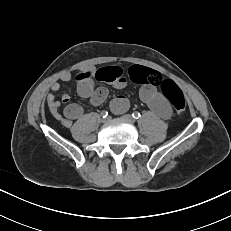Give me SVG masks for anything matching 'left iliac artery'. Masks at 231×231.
<instances>
[{
    "instance_id": "44dca946",
    "label": "left iliac artery",
    "mask_w": 231,
    "mask_h": 231,
    "mask_svg": "<svg viewBox=\"0 0 231 231\" xmlns=\"http://www.w3.org/2000/svg\"><path fill=\"white\" fill-rule=\"evenodd\" d=\"M132 116H133V118H135V119H139V118L141 117L140 113L137 112V111L133 112V113H132Z\"/></svg>"
}]
</instances>
